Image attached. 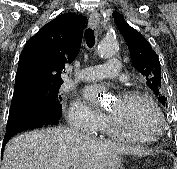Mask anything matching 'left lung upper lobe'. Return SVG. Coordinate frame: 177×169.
Returning <instances> with one entry per match:
<instances>
[{"mask_svg": "<svg viewBox=\"0 0 177 169\" xmlns=\"http://www.w3.org/2000/svg\"><path fill=\"white\" fill-rule=\"evenodd\" d=\"M113 16L129 48L135 68L142 74L145 83L156 94L158 100L167 107V97L163 95L160 62L156 53L150 43L125 22L120 13L114 12Z\"/></svg>", "mask_w": 177, "mask_h": 169, "instance_id": "5c2ea615", "label": "left lung upper lobe"}]
</instances>
